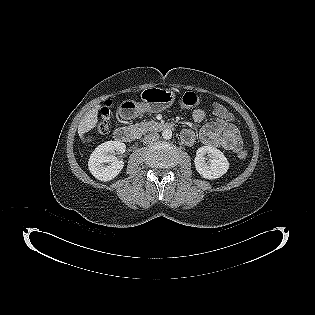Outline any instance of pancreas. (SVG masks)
Returning a JSON list of instances; mask_svg holds the SVG:
<instances>
[{
    "label": "pancreas",
    "mask_w": 315,
    "mask_h": 315,
    "mask_svg": "<svg viewBox=\"0 0 315 315\" xmlns=\"http://www.w3.org/2000/svg\"><path fill=\"white\" fill-rule=\"evenodd\" d=\"M152 123V122H151ZM150 122L138 123L132 126L136 133L144 134L150 130Z\"/></svg>",
    "instance_id": "pancreas-1"
}]
</instances>
